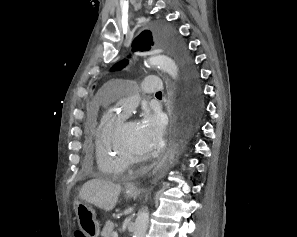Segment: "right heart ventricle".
<instances>
[{
	"label": "right heart ventricle",
	"mask_w": 297,
	"mask_h": 237,
	"mask_svg": "<svg viewBox=\"0 0 297 237\" xmlns=\"http://www.w3.org/2000/svg\"><path fill=\"white\" fill-rule=\"evenodd\" d=\"M125 116L107 113L97 126L94 149L98 169L107 176L122 174L129 163L120 152L116 143V130Z\"/></svg>",
	"instance_id": "right-heart-ventricle-1"
}]
</instances>
